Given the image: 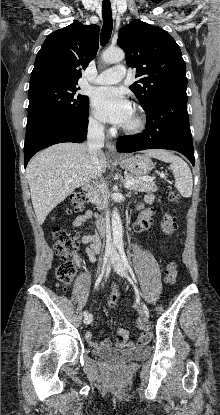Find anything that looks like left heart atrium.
Listing matches in <instances>:
<instances>
[{
  "mask_svg": "<svg viewBox=\"0 0 220 415\" xmlns=\"http://www.w3.org/2000/svg\"><path fill=\"white\" fill-rule=\"evenodd\" d=\"M92 102L96 116L104 122L125 125L133 113L124 92L115 87L95 89Z\"/></svg>",
  "mask_w": 220,
  "mask_h": 415,
  "instance_id": "1",
  "label": "left heart atrium"
}]
</instances>
